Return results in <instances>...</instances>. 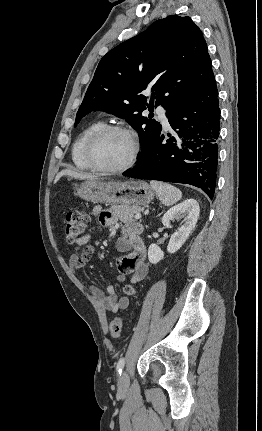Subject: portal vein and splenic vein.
<instances>
[{
	"mask_svg": "<svg viewBox=\"0 0 262 431\" xmlns=\"http://www.w3.org/2000/svg\"><path fill=\"white\" fill-rule=\"evenodd\" d=\"M140 218H141V214L140 213H138V214L135 215V219H140Z\"/></svg>",
	"mask_w": 262,
	"mask_h": 431,
	"instance_id": "1",
	"label": "portal vein and splenic vein"
}]
</instances>
